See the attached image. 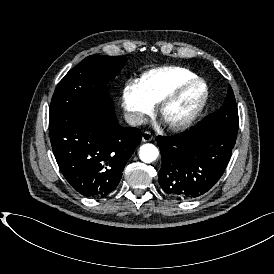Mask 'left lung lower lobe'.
Listing matches in <instances>:
<instances>
[{
  "label": "left lung lower lobe",
  "mask_w": 274,
  "mask_h": 274,
  "mask_svg": "<svg viewBox=\"0 0 274 274\" xmlns=\"http://www.w3.org/2000/svg\"><path fill=\"white\" fill-rule=\"evenodd\" d=\"M236 137L199 124L179 135L157 136L162 158L158 177L164 192L182 200L210 190L226 169Z\"/></svg>",
  "instance_id": "0a47b994"
}]
</instances>
